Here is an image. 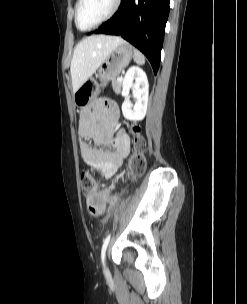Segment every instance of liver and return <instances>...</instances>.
<instances>
[{
    "mask_svg": "<svg viewBox=\"0 0 247 304\" xmlns=\"http://www.w3.org/2000/svg\"><path fill=\"white\" fill-rule=\"evenodd\" d=\"M125 41L120 37L93 35L80 41L73 53L70 72L76 92L100 67L107 56Z\"/></svg>",
    "mask_w": 247,
    "mask_h": 304,
    "instance_id": "liver-1",
    "label": "liver"
}]
</instances>
